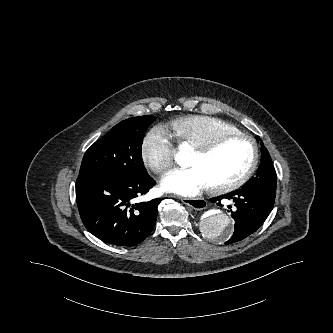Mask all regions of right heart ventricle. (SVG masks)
<instances>
[{
  "label": "right heart ventricle",
  "instance_id": "right-heart-ventricle-1",
  "mask_svg": "<svg viewBox=\"0 0 333 333\" xmlns=\"http://www.w3.org/2000/svg\"><path fill=\"white\" fill-rule=\"evenodd\" d=\"M169 131L179 145H188L192 148L225 133L240 132L235 126L204 115H188L172 120Z\"/></svg>",
  "mask_w": 333,
  "mask_h": 333
}]
</instances>
